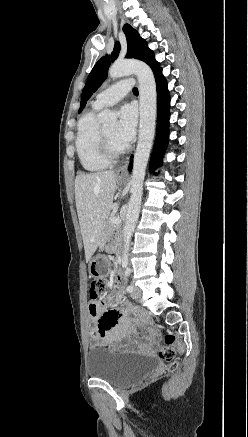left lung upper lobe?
<instances>
[{
  "label": "left lung upper lobe",
  "instance_id": "5c2ea615",
  "mask_svg": "<svg viewBox=\"0 0 248 437\" xmlns=\"http://www.w3.org/2000/svg\"><path fill=\"white\" fill-rule=\"evenodd\" d=\"M123 31L126 35L128 46L126 58H135L144 61L151 67L153 72L160 69V64L155 60L153 51L147 47V42L139 36L138 32L134 30L129 24L124 25ZM119 52L120 44L119 42H116L110 57L108 55L102 57L93 67L81 95L79 113L85 107L86 102L90 98V96L100 87V85L106 79L110 63L117 58Z\"/></svg>",
  "mask_w": 248,
  "mask_h": 437
}]
</instances>
